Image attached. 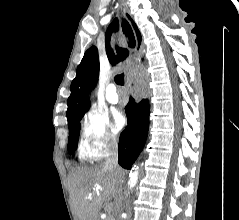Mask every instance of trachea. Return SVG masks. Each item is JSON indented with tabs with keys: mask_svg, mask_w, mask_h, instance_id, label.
Masks as SVG:
<instances>
[{
	"mask_svg": "<svg viewBox=\"0 0 239 220\" xmlns=\"http://www.w3.org/2000/svg\"><path fill=\"white\" fill-rule=\"evenodd\" d=\"M116 84L123 86L124 85V73L120 75H116L114 78Z\"/></svg>",
	"mask_w": 239,
	"mask_h": 220,
	"instance_id": "1",
	"label": "trachea"
}]
</instances>
